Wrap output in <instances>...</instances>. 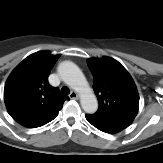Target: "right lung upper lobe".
Listing matches in <instances>:
<instances>
[{"mask_svg": "<svg viewBox=\"0 0 163 163\" xmlns=\"http://www.w3.org/2000/svg\"><path fill=\"white\" fill-rule=\"evenodd\" d=\"M60 55L39 51L25 58L10 74L4 89V101L18 123L50 119L58 114L64 101L58 88L50 86L48 75Z\"/></svg>", "mask_w": 163, "mask_h": 163, "instance_id": "cb5924a9", "label": "right lung upper lobe"}]
</instances>
